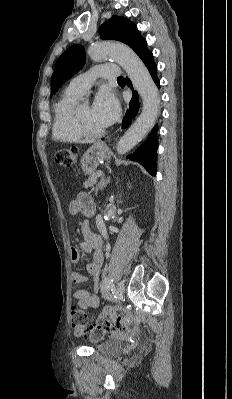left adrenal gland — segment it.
<instances>
[{"instance_id": "1", "label": "left adrenal gland", "mask_w": 232, "mask_h": 399, "mask_svg": "<svg viewBox=\"0 0 232 399\" xmlns=\"http://www.w3.org/2000/svg\"><path fill=\"white\" fill-rule=\"evenodd\" d=\"M107 182H108V180H106V178H104V176H103V178H101V180H100L99 186H96V190H95L96 196H97V192H98L99 188H101V190H102V188H106Z\"/></svg>"}]
</instances>
